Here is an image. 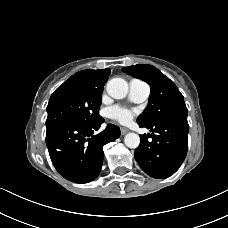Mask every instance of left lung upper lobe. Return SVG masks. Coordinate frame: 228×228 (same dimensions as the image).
Wrapping results in <instances>:
<instances>
[{
  "label": "left lung upper lobe",
  "mask_w": 228,
  "mask_h": 228,
  "mask_svg": "<svg viewBox=\"0 0 228 228\" xmlns=\"http://www.w3.org/2000/svg\"><path fill=\"white\" fill-rule=\"evenodd\" d=\"M122 71L147 82L151 87L148 106L138 117V124L149 126L163 119L188 113L183 95L176 85L154 66L138 64L124 67Z\"/></svg>",
  "instance_id": "1"
}]
</instances>
